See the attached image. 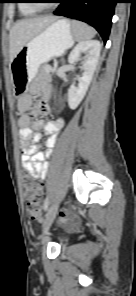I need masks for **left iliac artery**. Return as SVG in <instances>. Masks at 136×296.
I'll list each match as a JSON object with an SVG mask.
<instances>
[{
    "mask_svg": "<svg viewBox=\"0 0 136 296\" xmlns=\"http://www.w3.org/2000/svg\"><path fill=\"white\" fill-rule=\"evenodd\" d=\"M50 198L48 196L45 197V203H44V209L47 210L48 208V204H49V200Z\"/></svg>",
    "mask_w": 136,
    "mask_h": 296,
    "instance_id": "left-iliac-artery-1",
    "label": "left iliac artery"
}]
</instances>
